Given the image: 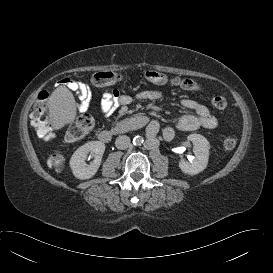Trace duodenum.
Segmentation results:
<instances>
[{
  "label": "duodenum",
  "instance_id": "duodenum-1",
  "mask_svg": "<svg viewBox=\"0 0 273 273\" xmlns=\"http://www.w3.org/2000/svg\"><path fill=\"white\" fill-rule=\"evenodd\" d=\"M147 118L136 115L117 122L110 129H103L98 132V139L103 143H109L114 137L139 129L147 123Z\"/></svg>",
  "mask_w": 273,
  "mask_h": 273
}]
</instances>
